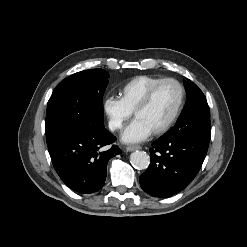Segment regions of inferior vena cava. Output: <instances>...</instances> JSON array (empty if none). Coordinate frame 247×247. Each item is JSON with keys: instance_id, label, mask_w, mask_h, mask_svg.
Segmentation results:
<instances>
[{"instance_id": "inferior-vena-cava-1", "label": "inferior vena cava", "mask_w": 247, "mask_h": 247, "mask_svg": "<svg viewBox=\"0 0 247 247\" xmlns=\"http://www.w3.org/2000/svg\"><path fill=\"white\" fill-rule=\"evenodd\" d=\"M109 128H110L111 130H114V129L116 128V124L113 123V122H110V123H109Z\"/></svg>"}]
</instances>
